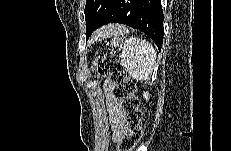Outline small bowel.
<instances>
[{
  "label": "small bowel",
  "instance_id": "1",
  "mask_svg": "<svg viewBox=\"0 0 231 151\" xmlns=\"http://www.w3.org/2000/svg\"><path fill=\"white\" fill-rule=\"evenodd\" d=\"M110 87V84H107ZM108 108L110 112V122L113 133L114 141H118L120 137L126 132V125L123 118V114L117 99L114 96H109L108 98Z\"/></svg>",
  "mask_w": 231,
  "mask_h": 151
}]
</instances>
